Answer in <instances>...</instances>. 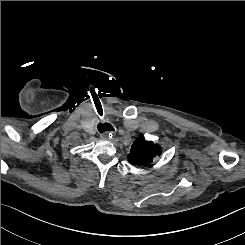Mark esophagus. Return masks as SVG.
<instances>
[{
    "label": "esophagus",
    "instance_id": "esophagus-1",
    "mask_svg": "<svg viewBox=\"0 0 245 245\" xmlns=\"http://www.w3.org/2000/svg\"><path fill=\"white\" fill-rule=\"evenodd\" d=\"M110 135H112V133L105 132V133L101 134V138L102 139H108L110 137Z\"/></svg>",
    "mask_w": 245,
    "mask_h": 245
}]
</instances>
